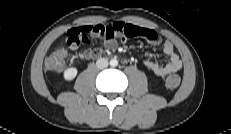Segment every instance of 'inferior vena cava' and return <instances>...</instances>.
<instances>
[{"label": "inferior vena cava", "mask_w": 231, "mask_h": 134, "mask_svg": "<svg viewBox=\"0 0 231 134\" xmlns=\"http://www.w3.org/2000/svg\"><path fill=\"white\" fill-rule=\"evenodd\" d=\"M96 66L97 68L99 69H104L108 66V60L105 59V58H99L97 61H96Z\"/></svg>", "instance_id": "1"}]
</instances>
